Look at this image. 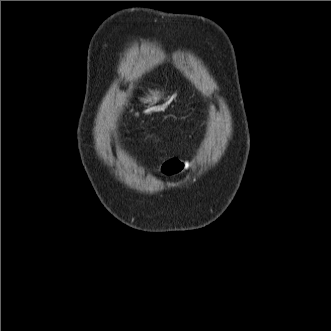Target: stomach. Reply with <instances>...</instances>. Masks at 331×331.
Returning <instances> with one entry per match:
<instances>
[{"mask_svg": "<svg viewBox=\"0 0 331 331\" xmlns=\"http://www.w3.org/2000/svg\"><path fill=\"white\" fill-rule=\"evenodd\" d=\"M160 99L159 92H151V96H144L140 98V102L144 105H150L156 103Z\"/></svg>", "mask_w": 331, "mask_h": 331, "instance_id": "stomach-1", "label": "stomach"}]
</instances>
